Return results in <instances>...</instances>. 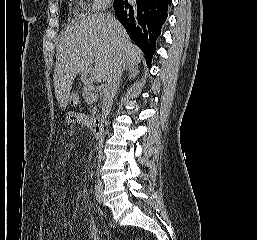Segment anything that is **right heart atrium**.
I'll list each match as a JSON object with an SVG mask.
<instances>
[{"label": "right heart atrium", "mask_w": 257, "mask_h": 240, "mask_svg": "<svg viewBox=\"0 0 257 240\" xmlns=\"http://www.w3.org/2000/svg\"><path fill=\"white\" fill-rule=\"evenodd\" d=\"M110 3V0H93L92 7L95 11L105 9Z\"/></svg>", "instance_id": "d8ad5b80"}]
</instances>
